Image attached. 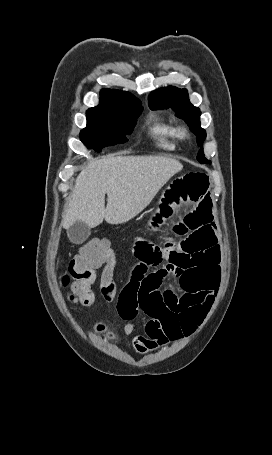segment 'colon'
<instances>
[{
	"label": "colon",
	"instance_id": "colon-1",
	"mask_svg": "<svg viewBox=\"0 0 272 455\" xmlns=\"http://www.w3.org/2000/svg\"><path fill=\"white\" fill-rule=\"evenodd\" d=\"M115 267L116 258L108 240L94 238L88 241L66 263L62 283L69 287V300L76 306H87L94 301L97 292L107 301L115 300L118 295L113 277ZM99 268L102 273L98 277Z\"/></svg>",
	"mask_w": 272,
	"mask_h": 455
}]
</instances>
